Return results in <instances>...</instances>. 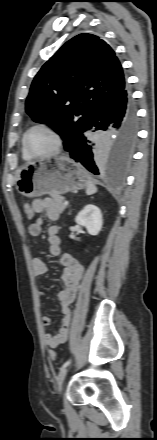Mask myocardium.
<instances>
[{"mask_svg": "<svg viewBox=\"0 0 157 440\" xmlns=\"http://www.w3.org/2000/svg\"><path fill=\"white\" fill-rule=\"evenodd\" d=\"M44 129L46 131H48L55 139V146L52 149V151H50L47 154H34L30 151L29 147H28V143H27V139L29 134L35 130V129ZM64 146V140L62 137L61 132L53 125L49 124V123H36L34 125H32L24 134L23 136V147L24 150L30 155V157H47V156H52L55 154H58L62 148Z\"/></svg>", "mask_w": 157, "mask_h": 440, "instance_id": "f54148a6", "label": "myocardium"}]
</instances>
